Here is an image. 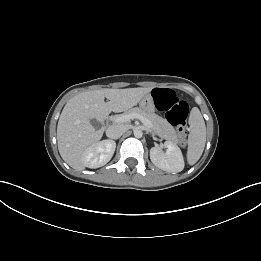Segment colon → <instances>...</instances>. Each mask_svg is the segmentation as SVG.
<instances>
[{
	"mask_svg": "<svg viewBox=\"0 0 261 261\" xmlns=\"http://www.w3.org/2000/svg\"><path fill=\"white\" fill-rule=\"evenodd\" d=\"M153 99L156 107L160 111H164L170 123L178 128L181 144L185 146V125L189 115L188 104L170 89H155Z\"/></svg>",
	"mask_w": 261,
	"mask_h": 261,
	"instance_id": "obj_1",
	"label": "colon"
}]
</instances>
